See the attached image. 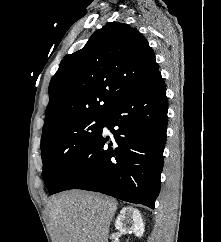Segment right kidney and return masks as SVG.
Wrapping results in <instances>:
<instances>
[{"mask_svg":"<svg viewBox=\"0 0 221 242\" xmlns=\"http://www.w3.org/2000/svg\"><path fill=\"white\" fill-rule=\"evenodd\" d=\"M129 224V226H127ZM115 227L120 232L129 231L137 237H142L144 233V223L138 209L124 207L115 221Z\"/></svg>","mask_w":221,"mask_h":242,"instance_id":"obj_1","label":"right kidney"}]
</instances>
